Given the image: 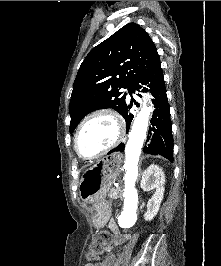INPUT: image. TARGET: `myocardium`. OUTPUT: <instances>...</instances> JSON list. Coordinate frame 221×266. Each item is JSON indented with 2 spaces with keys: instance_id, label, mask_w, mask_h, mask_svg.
<instances>
[{
  "instance_id": "obj_1",
  "label": "myocardium",
  "mask_w": 221,
  "mask_h": 266,
  "mask_svg": "<svg viewBox=\"0 0 221 266\" xmlns=\"http://www.w3.org/2000/svg\"><path fill=\"white\" fill-rule=\"evenodd\" d=\"M99 115H107L110 116L116 123L117 126V135L115 137V139L105 148H103L102 150H100L99 152H97L94 155L91 156H87L84 155L82 153V151L80 150L79 147V138L81 135V132L83 130V128L85 127V125L94 117L99 116ZM125 132H126V126H125V122L123 120V118L114 110L112 109H99L96 110L94 112H92L91 114H89L81 123V125L79 126L76 135H75V139H74V147H75V151L77 153V155L79 157H81L82 159L85 160H93L96 159L100 156H102L103 154H105L107 151L111 150L112 148H114L125 136Z\"/></svg>"
}]
</instances>
